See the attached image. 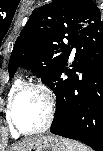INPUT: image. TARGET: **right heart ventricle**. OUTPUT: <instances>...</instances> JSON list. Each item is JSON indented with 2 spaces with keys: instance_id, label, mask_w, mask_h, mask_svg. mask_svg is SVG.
<instances>
[{
  "instance_id": "1",
  "label": "right heart ventricle",
  "mask_w": 103,
  "mask_h": 151,
  "mask_svg": "<svg viewBox=\"0 0 103 151\" xmlns=\"http://www.w3.org/2000/svg\"><path fill=\"white\" fill-rule=\"evenodd\" d=\"M22 85L21 83V80H16L15 83L13 84V86L11 87L8 95H7V105H6V109H5V114H6V119L7 121L9 122V119H8V104H9V101L12 97V95L14 94V92ZM10 124V122H9ZM10 132H11V135L14 137V138H18L19 137V134L12 128L11 124H10Z\"/></svg>"
}]
</instances>
